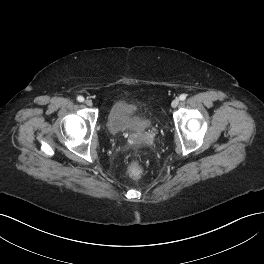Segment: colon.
<instances>
[{
	"mask_svg": "<svg viewBox=\"0 0 264 264\" xmlns=\"http://www.w3.org/2000/svg\"><path fill=\"white\" fill-rule=\"evenodd\" d=\"M143 173L142 167L137 162H132L128 167V174L133 179H138Z\"/></svg>",
	"mask_w": 264,
	"mask_h": 264,
	"instance_id": "colon-1",
	"label": "colon"
}]
</instances>
